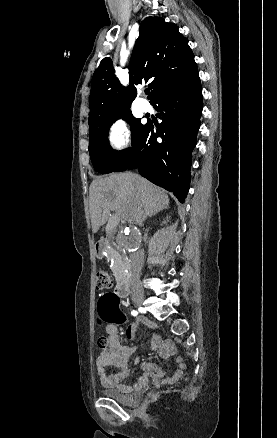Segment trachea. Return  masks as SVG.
Instances as JSON below:
<instances>
[{
  "label": "trachea",
  "mask_w": 277,
  "mask_h": 438,
  "mask_svg": "<svg viewBox=\"0 0 277 438\" xmlns=\"http://www.w3.org/2000/svg\"><path fill=\"white\" fill-rule=\"evenodd\" d=\"M150 90H145L146 95H149Z\"/></svg>",
  "instance_id": "1"
}]
</instances>
